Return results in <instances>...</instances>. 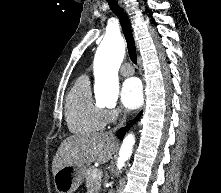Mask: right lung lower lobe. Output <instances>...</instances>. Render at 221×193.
<instances>
[{"label":"right lung lower lobe","mask_w":221,"mask_h":193,"mask_svg":"<svg viewBox=\"0 0 221 193\" xmlns=\"http://www.w3.org/2000/svg\"><path fill=\"white\" fill-rule=\"evenodd\" d=\"M141 116V112L134 118L133 121H131L126 127L121 128L118 132H117V136L119 138H123L125 133L128 131V129L132 126L133 123H135L139 117Z\"/></svg>","instance_id":"obj_1"}]
</instances>
